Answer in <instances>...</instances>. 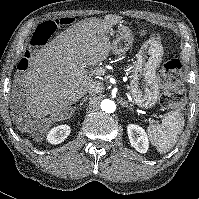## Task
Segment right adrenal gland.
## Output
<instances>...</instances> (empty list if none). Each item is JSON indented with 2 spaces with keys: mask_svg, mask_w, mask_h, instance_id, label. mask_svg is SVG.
<instances>
[{
  "mask_svg": "<svg viewBox=\"0 0 199 199\" xmlns=\"http://www.w3.org/2000/svg\"><path fill=\"white\" fill-rule=\"evenodd\" d=\"M86 100H87V97H84V98L81 100V102H80V104H79V107H81V106L83 105V103L86 102ZM76 108H77L76 106L73 107V113H72V114H74Z\"/></svg>",
  "mask_w": 199,
  "mask_h": 199,
  "instance_id": "1",
  "label": "right adrenal gland"
}]
</instances>
